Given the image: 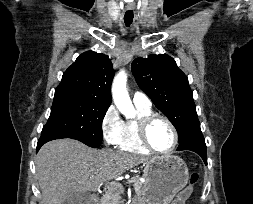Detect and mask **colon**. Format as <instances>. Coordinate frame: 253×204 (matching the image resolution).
I'll list each match as a JSON object with an SVG mask.
<instances>
[{
    "instance_id": "5ec220e1",
    "label": "colon",
    "mask_w": 253,
    "mask_h": 204,
    "mask_svg": "<svg viewBox=\"0 0 253 204\" xmlns=\"http://www.w3.org/2000/svg\"><path fill=\"white\" fill-rule=\"evenodd\" d=\"M198 179H199V174L192 173L189 178V183L179 191L173 204H185L186 201L190 198L193 192V188L198 182Z\"/></svg>"
}]
</instances>
